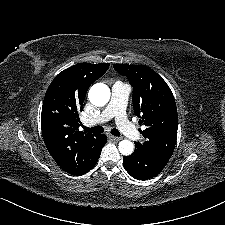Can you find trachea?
Masks as SVG:
<instances>
[{
    "label": "trachea",
    "mask_w": 225,
    "mask_h": 225,
    "mask_svg": "<svg viewBox=\"0 0 225 225\" xmlns=\"http://www.w3.org/2000/svg\"><path fill=\"white\" fill-rule=\"evenodd\" d=\"M85 132H89V133H102L104 131V128L102 126H95V127H91V128H88V127H83ZM111 134L114 135V136H120V132L118 129L116 128H113L111 129Z\"/></svg>",
    "instance_id": "3493384b"
}]
</instances>
